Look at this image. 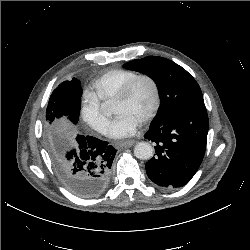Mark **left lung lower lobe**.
Returning a JSON list of instances; mask_svg holds the SVG:
<instances>
[{"mask_svg": "<svg viewBox=\"0 0 250 250\" xmlns=\"http://www.w3.org/2000/svg\"><path fill=\"white\" fill-rule=\"evenodd\" d=\"M208 124L205 105L189 107L152 122L144 136L156 144L155 157L145 165L149 179L168 189L186 185L203 160Z\"/></svg>", "mask_w": 250, "mask_h": 250, "instance_id": "left-lung-lower-lobe-1", "label": "left lung lower lobe"}]
</instances>
